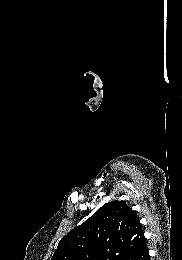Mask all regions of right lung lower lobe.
I'll return each mask as SVG.
<instances>
[{"instance_id":"1","label":"right lung lower lobe","mask_w":182,"mask_h":260,"mask_svg":"<svg viewBox=\"0 0 182 260\" xmlns=\"http://www.w3.org/2000/svg\"><path fill=\"white\" fill-rule=\"evenodd\" d=\"M124 260H150L146 242L140 245L136 250L128 254Z\"/></svg>"}]
</instances>
